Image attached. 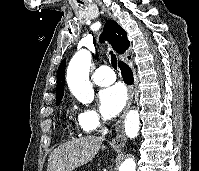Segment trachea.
<instances>
[{
    "instance_id": "obj_1",
    "label": "trachea",
    "mask_w": 199,
    "mask_h": 171,
    "mask_svg": "<svg viewBox=\"0 0 199 171\" xmlns=\"http://www.w3.org/2000/svg\"><path fill=\"white\" fill-rule=\"evenodd\" d=\"M110 54V57H111V64H112V67L114 69H117V59H116V56L113 54L112 51L109 52Z\"/></svg>"
}]
</instances>
